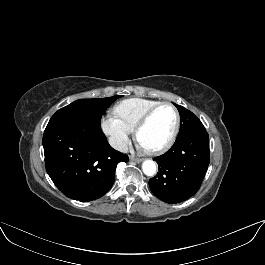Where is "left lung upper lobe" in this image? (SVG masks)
Masks as SVG:
<instances>
[{
	"instance_id": "obj_1",
	"label": "left lung upper lobe",
	"mask_w": 265,
	"mask_h": 265,
	"mask_svg": "<svg viewBox=\"0 0 265 265\" xmlns=\"http://www.w3.org/2000/svg\"><path fill=\"white\" fill-rule=\"evenodd\" d=\"M175 106L179 111L182 122L177 138L188 135L198 129L204 128L203 124L198 119V117L194 115L191 111L185 109L180 105L175 104Z\"/></svg>"
}]
</instances>
